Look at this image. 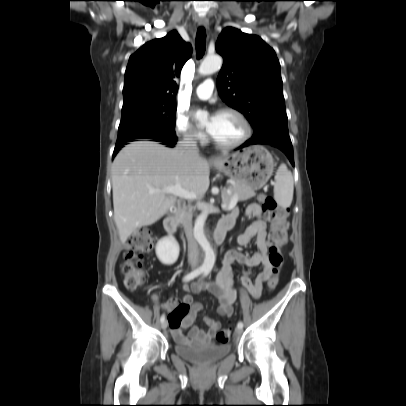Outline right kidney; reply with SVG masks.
I'll return each mask as SVG.
<instances>
[{
  "instance_id": "obj_1",
  "label": "right kidney",
  "mask_w": 406,
  "mask_h": 406,
  "mask_svg": "<svg viewBox=\"0 0 406 406\" xmlns=\"http://www.w3.org/2000/svg\"><path fill=\"white\" fill-rule=\"evenodd\" d=\"M156 255L165 265L174 264L179 256V245L172 237L162 238L156 245Z\"/></svg>"
}]
</instances>
